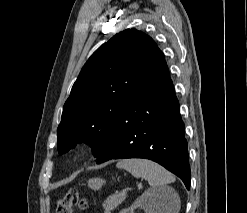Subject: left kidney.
Segmentation results:
<instances>
[{"label":"left kidney","instance_id":"1","mask_svg":"<svg viewBox=\"0 0 247 213\" xmlns=\"http://www.w3.org/2000/svg\"><path fill=\"white\" fill-rule=\"evenodd\" d=\"M159 193L155 190L145 191L132 205L130 208L121 211L120 213H133L134 209L143 208L146 213H160V201Z\"/></svg>","mask_w":247,"mask_h":213}]
</instances>
